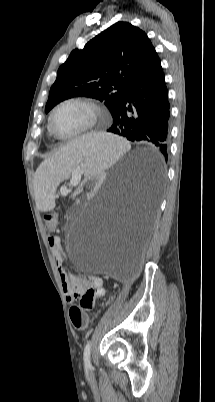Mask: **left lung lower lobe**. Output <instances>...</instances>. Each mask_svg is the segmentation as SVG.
<instances>
[{
    "label": "left lung lower lobe",
    "instance_id": "left-lung-lower-lobe-1",
    "mask_svg": "<svg viewBox=\"0 0 215 402\" xmlns=\"http://www.w3.org/2000/svg\"><path fill=\"white\" fill-rule=\"evenodd\" d=\"M112 116L108 132L151 143L167 159L170 104L160 59L131 83ZM159 177L156 173L148 177L151 192L156 190Z\"/></svg>",
    "mask_w": 215,
    "mask_h": 402
}]
</instances>
